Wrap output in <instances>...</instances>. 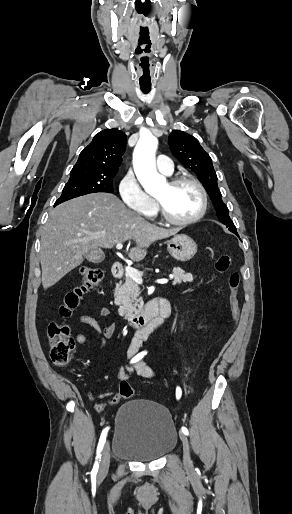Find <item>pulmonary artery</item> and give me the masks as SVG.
Instances as JSON below:
<instances>
[{
  "label": "pulmonary artery",
  "mask_w": 292,
  "mask_h": 514,
  "mask_svg": "<svg viewBox=\"0 0 292 514\" xmlns=\"http://www.w3.org/2000/svg\"><path fill=\"white\" fill-rule=\"evenodd\" d=\"M158 157L162 159V161H159L157 164L158 171L166 176H170L173 172L172 159L170 157H165L163 152H160Z\"/></svg>",
  "instance_id": "e3ab8cb5"
}]
</instances>
